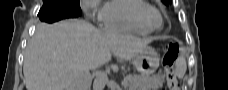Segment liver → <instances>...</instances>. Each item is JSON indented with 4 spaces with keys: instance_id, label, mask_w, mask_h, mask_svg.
I'll use <instances>...</instances> for the list:
<instances>
[{
    "instance_id": "obj_1",
    "label": "liver",
    "mask_w": 228,
    "mask_h": 90,
    "mask_svg": "<svg viewBox=\"0 0 228 90\" xmlns=\"http://www.w3.org/2000/svg\"><path fill=\"white\" fill-rule=\"evenodd\" d=\"M152 38L105 32L84 20L39 24L24 54L27 90H66L75 75L95 70L111 55L131 60Z\"/></svg>"
}]
</instances>
